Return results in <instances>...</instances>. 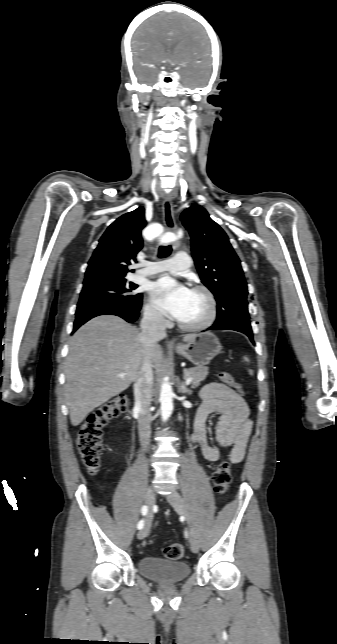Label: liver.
Listing matches in <instances>:
<instances>
[{"label": "liver", "instance_id": "liver-1", "mask_svg": "<svg viewBox=\"0 0 337 644\" xmlns=\"http://www.w3.org/2000/svg\"><path fill=\"white\" fill-rule=\"evenodd\" d=\"M195 335L183 337L190 342ZM147 357L151 370L158 358L156 342L146 347L137 328L113 315L98 316L72 336L65 362L66 402L73 426L95 408L126 390ZM125 377H118L119 374Z\"/></svg>", "mask_w": 337, "mask_h": 644}]
</instances>
